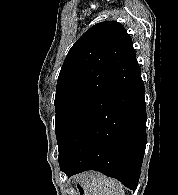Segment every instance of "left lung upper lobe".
<instances>
[{
    "label": "left lung upper lobe",
    "instance_id": "1",
    "mask_svg": "<svg viewBox=\"0 0 178 195\" xmlns=\"http://www.w3.org/2000/svg\"><path fill=\"white\" fill-rule=\"evenodd\" d=\"M139 72L132 39L116 21L95 24L74 43L56 86L55 133L59 155Z\"/></svg>",
    "mask_w": 178,
    "mask_h": 195
}]
</instances>
